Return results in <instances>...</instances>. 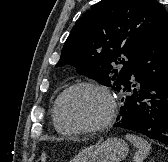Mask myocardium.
Returning a JSON list of instances; mask_svg holds the SVG:
<instances>
[{"label":"myocardium","mask_w":168,"mask_h":162,"mask_svg":"<svg viewBox=\"0 0 168 162\" xmlns=\"http://www.w3.org/2000/svg\"><path fill=\"white\" fill-rule=\"evenodd\" d=\"M82 88L92 89L97 92H100L108 99L110 110L107 117L100 123L93 125H75L71 124L64 118L61 110L64 98L72 91ZM116 114H117V104L112 93L106 87L92 82H79L69 86L58 96V98L55 101V115L57 120L63 127L72 132H98L105 130L112 124Z\"/></svg>","instance_id":"1"}]
</instances>
